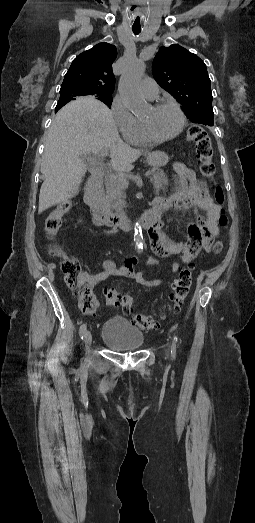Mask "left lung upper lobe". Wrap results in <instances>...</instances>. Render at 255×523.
I'll return each instance as SVG.
<instances>
[{
	"instance_id": "obj_1",
	"label": "left lung upper lobe",
	"mask_w": 255,
	"mask_h": 523,
	"mask_svg": "<svg viewBox=\"0 0 255 523\" xmlns=\"http://www.w3.org/2000/svg\"><path fill=\"white\" fill-rule=\"evenodd\" d=\"M153 76L183 106L193 123L213 126L211 81L204 62L179 45L161 47Z\"/></svg>"
}]
</instances>
